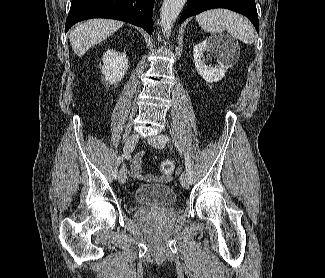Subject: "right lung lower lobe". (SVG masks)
Returning a JSON list of instances; mask_svg holds the SVG:
<instances>
[{
    "label": "right lung lower lobe",
    "instance_id": "98d812e1",
    "mask_svg": "<svg viewBox=\"0 0 325 278\" xmlns=\"http://www.w3.org/2000/svg\"><path fill=\"white\" fill-rule=\"evenodd\" d=\"M155 0H72L66 31L75 23L90 18H110L142 27L152 34Z\"/></svg>",
    "mask_w": 325,
    "mask_h": 278
}]
</instances>
